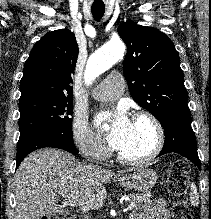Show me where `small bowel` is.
<instances>
[{
  "label": "small bowel",
  "mask_w": 211,
  "mask_h": 219,
  "mask_svg": "<svg viewBox=\"0 0 211 219\" xmlns=\"http://www.w3.org/2000/svg\"><path fill=\"white\" fill-rule=\"evenodd\" d=\"M132 219H170L169 212L162 200H156L150 206L140 209Z\"/></svg>",
  "instance_id": "1"
}]
</instances>
